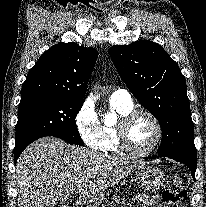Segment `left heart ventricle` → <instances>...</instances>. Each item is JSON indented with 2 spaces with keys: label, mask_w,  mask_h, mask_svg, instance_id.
<instances>
[{
  "label": "left heart ventricle",
  "mask_w": 206,
  "mask_h": 207,
  "mask_svg": "<svg viewBox=\"0 0 206 207\" xmlns=\"http://www.w3.org/2000/svg\"><path fill=\"white\" fill-rule=\"evenodd\" d=\"M155 134L156 130L153 123L145 116L135 119L127 131L129 144L137 151L149 148L154 141Z\"/></svg>",
  "instance_id": "b2bd125f"
}]
</instances>
